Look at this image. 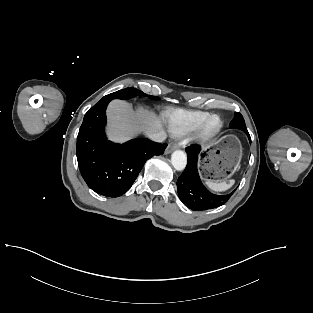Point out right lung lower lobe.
<instances>
[{
	"mask_svg": "<svg viewBox=\"0 0 313 313\" xmlns=\"http://www.w3.org/2000/svg\"><path fill=\"white\" fill-rule=\"evenodd\" d=\"M109 102L99 101L85 114L77 137V161L83 179L94 192L118 197L131 188L146 160L162 155L167 144L145 138L122 145L108 141L104 127Z\"/></svg>",
	"mask_w": 313,
	"mask_h": 313,
	"instance_id": "98d812e1",
	"label": "right lung lower lobe"
}]
</instances>
